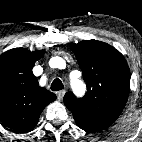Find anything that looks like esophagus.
I'll list each match as a JSON object with an SVG mask.
<instances>
[{"instance_id":"esophagus-1","label":"esophagus","mask_w":142,"mask_h":142,"mask_svg":"<svg viewBox=\"0 0 142 142\" xmlns=\"http://www.w3.org/2000/svg\"><path fill=\"white\" fill-rule=\"evenodd\" d=\"M64 95H65V90H61V91L57 92V99H58L59 101H62Z\"/></svg>"}]
</instances>
